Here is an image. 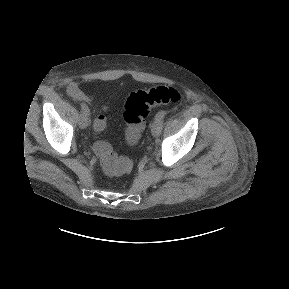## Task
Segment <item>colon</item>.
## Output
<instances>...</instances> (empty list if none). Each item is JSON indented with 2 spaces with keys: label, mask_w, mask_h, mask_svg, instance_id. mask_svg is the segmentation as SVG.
<instances>
[{
  "label": "colon",
  "mask_w": 289,
  "mask_h": 289,
  "mask_svg": "<svg viewBox=\"0 0 289 289\" xmlns=\"http://www.w3.org/2000/svg\"><path fill=\"white\" fill-rule=\"evenodd\" d=\"M181 99L180 92L174 87L156 86L140 89L129 94L124 104L123 118L127 126L125 141L133 146L145 125V118L153 107L160 104H174ZM108 123L104 116L94 121V130L100 134L107 130ZM94 150L99 156L103 170L109 175L127 174L132 170V162L127 157L118 156L111 145L97 141Z\"/></svg>",
  "instance_id": "colon-1"
}]
</instances>
